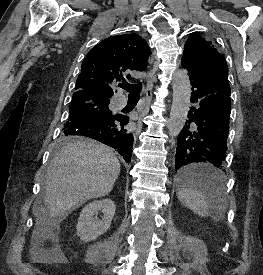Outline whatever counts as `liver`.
Instances as JSON below:
<instances>
[{
	"instance_id": "obj_1",
	"label": "liver",
	"mask_w": 263,
	"mask_h": 275,
	"mask_svg": "<svg viewBox=\"0 0 263 275\" xmlns=\"http://www.w3.org/2000/svg\"><path fill=\"white\" fill-rule=\"evenodd\" d=\"M119 173V160L108 147L83 140L67 144L47 170L43 201L33 206L37 226L58 228L80 203L109 194Z\"/></svg>"
}]
</instances>
